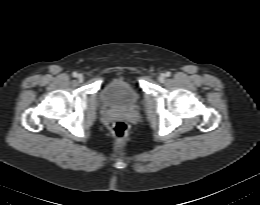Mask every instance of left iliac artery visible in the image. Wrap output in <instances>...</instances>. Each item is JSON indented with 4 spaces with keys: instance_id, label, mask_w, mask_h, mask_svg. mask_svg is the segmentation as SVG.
<instances>
[{
    "instance_id": "left-iliac-artery-1",
    "label": "left iliac artery",
    "mask_w": 260,
    "mask_h": 205,
    "mask_svg": "<svg viewBox=\"0 0 260 205\" xmlns=\"http://www.w3.org/2000/svg\"><path fill=\"white\" fill-rule=\"evenodd\" d=\"M165 76H166V77H169V76H171V73H170V72H166V73H165Z\"/></svg>"
}]
</instances>
